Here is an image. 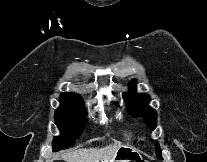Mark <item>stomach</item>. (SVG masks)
<instances>
[{
    "label": "stomach",
    "mask_w": 207,
    "mask_h": 162,
    "mask_svg": "<svg viewBox=\"0 0 207 162\" xmlns=\"http://www.w3.org/2000/svg\"><path fill=\"white\" fill-rule=\"evenodd\" d=\"M107 162H144L142 156L135 150L127 146L120 147L115 156Z\"/></svg>",
    "instance_id": "stomach-1"
}]
</instances>
